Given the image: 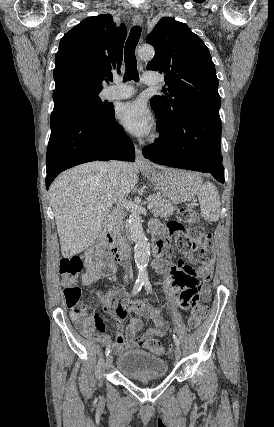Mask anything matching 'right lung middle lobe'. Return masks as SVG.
<instances>
[{
    "label": "right lung middle lobe",
    "mask_w": 274,
    "mask_h": 427,
    "mask_svg": "<svg viewBox=\"0 0 274 427\" xmlns=\"http://www.w3.org/2000/svg\"><path fill=\"white\" fill-rule=\"evenodd\" d=\"M98 94L70 95L62 99L54 105L50 119L51 126L59 119L80 112H87L93 116H100L110 112L112 105H104Z\"/></svg>",
    "instance_id": "dd1d6c3e"
}]
</instances>
